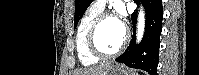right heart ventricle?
Here are the masks:
<instances>
[{
	"label": "right heart ventricle",
	"instance_id": "right-heart-ventricle-1",
	"mask_svg": "<svg viewBox=\"0 0 199 75\" xmlns=\"http://www.w3.org/2000/svg\"><path fill=\"white\" fill-rule=\"evenodd\" d=\"M101 12L102 10L95 6L89 7L80 19L77 28L75 37L77 56L79 61L85 66L94 65L99 61V58L90 52L86 36L91 23Z\"/></svg>",
	"mask_w": 199,
	"mask_h": 75
}]
</instances>
